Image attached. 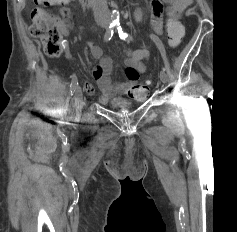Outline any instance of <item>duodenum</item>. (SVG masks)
Instances as JSON below:
<instances>
[{
	"label": "duodenum",
	"mask_w": 237,
	"mask_h": 232,
	"mask_svg": "<svg viewBox=\"0 0 237 232\" xmlns=\"http://www.w3.org/2000/svg\"><path fill=\"white\" fill-rule=\"evenodd\" d=\"M83 7H90L93 3V0H79Z\"/></svg>",
	"instance_id": "obj_1"
}]
</instances>
